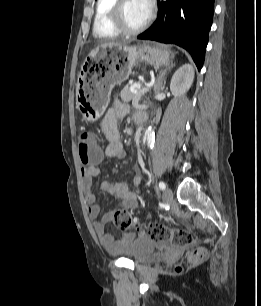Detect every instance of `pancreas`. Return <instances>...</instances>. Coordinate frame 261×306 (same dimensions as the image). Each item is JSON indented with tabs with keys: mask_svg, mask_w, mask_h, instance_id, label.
<instances>
[{
	"mask_svg": "<svg viewBox=\"0 0 261 306\" xmlns=\"http://www.w3.org/2000/svg\"><path fill=\"white\" fill-rule=\"evenodd\" d=\"M138 85H141L140 89L138 88ZM143 88L144 87L142 86V83H140V82L133 83L131 86L127 85L121 91L120 97H121L122 101L129 102L137 96L141 97L142 95H144L145 93H142Z\"/></svg>",
	"mask_w": 261,
	"mask_h": 306,
	"instance_id": "cf45deb5",
	"label": "pancreas"
}]
</instances>
